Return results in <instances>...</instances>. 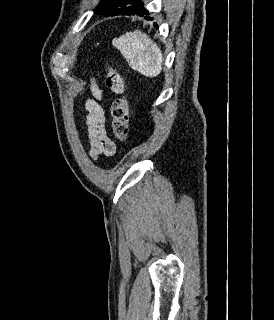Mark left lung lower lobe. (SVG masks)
<instances>
[{"instance_id":"1","label":"left lung lower lobe","mask_w":274,"mask_h":320,"mask_svg":"<svg viewBox=\"0 0 274 320\" xmlns=\"http://www.w3.org/2000/svg\"><path fill=\"white\" fill-rule=\"evenodd\" d=\"M133 14L144 17L146 20H153L152 17L146 16V15H149V13L146 9H144V6L141 3V0H137L132 6H130L129 8L121 12H111L110 14H106V15L114 16V15H133ZM154 26L157 27L156 24H154Z\"/></svg>"}]
</instances>
